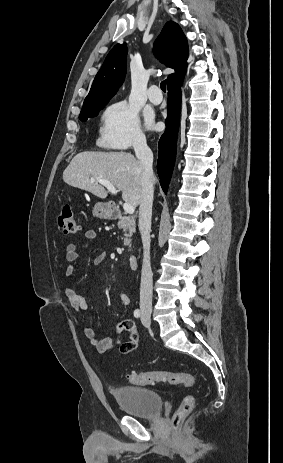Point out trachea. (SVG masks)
I'll list each match as a JSON object with an SVG mask.
<instances>
[{
    "label": "trachea",
    "mask_w": 283,
    "mask_h": 463,
    "mask_svg": "<svg viewBox=\"0 0 283 463\" xmlns=\"http://www.w3.org/2000/svg\"><path fill=\"white\" fill-rule=\"evenodd\" d=\"M160 88L162 89L163 92H166V80L161 82Z\"/></svg>",
    "instance_id": "obj_1"
}]
</instances>
